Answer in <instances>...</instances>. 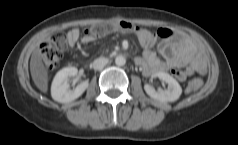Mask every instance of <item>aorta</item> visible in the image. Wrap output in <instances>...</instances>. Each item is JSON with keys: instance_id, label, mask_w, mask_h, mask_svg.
<instances>
[{"instance_id": "aorta-1", "label": "aorta", "mask_w": 238, "mask_h": 145, "mask_svg": "<svg viewBox=\"0 0 238 145\" xmlns=\"http://www.w3.org/2000/svg\"><path fill=\"white\" fill-rule=\"evenodd\" d=\"M125 63H126V59L124 56L119 55L115 58V64L117 66H123V65H125Z\"/></svg>"}]
</instances>
